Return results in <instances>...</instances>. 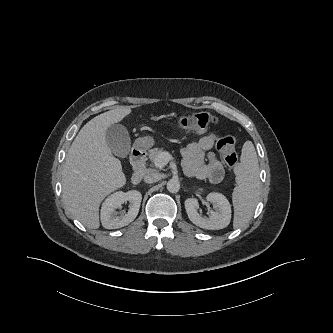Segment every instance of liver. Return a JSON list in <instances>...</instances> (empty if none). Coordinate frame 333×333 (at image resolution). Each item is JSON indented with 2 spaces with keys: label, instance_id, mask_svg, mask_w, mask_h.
Wrapping results in <instances>:
<instances>
[{
  "label": "liver",
  "instance_id": "6515ba94",
  "mask_svg": "<svg viewBox=\"0 0 333 333\" xmlns=\"http://www.w3.org/2000/svg\"><path fill=\"white\" fill-rule=\"evenodd\" d=\"M131 113L129 106L102 113L86 123L67 152L62 170L63 200L84 226L98 229L103 199L126 184L121 162L106 142V130Z\"/></svg>",
  "mask_w": 333,
  "mask_h": 333
}]
</instances>
